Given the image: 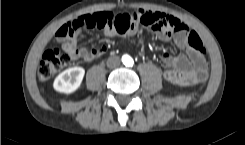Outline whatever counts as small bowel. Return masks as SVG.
I'll return each mask as SVG.
<instances>
[{
  "instance_id": "1",
  "label": "small bowel",
  "mask_w": 245,
  "mask_h": 145,
  "mask_svg": "<svg viewBox=\"0 0 245 145\" xmlns=\"http://www.w3.org/2000/svg\"><path fill=\"white\" fill-rule=\"evenodd\" d=\"M157 12V11H149ZM164 14L161 12H157ZM94 15V14H92ZM109 18H115L116 13H106ZM83 15L78 17L79 28L72 34V36L62 42L63 49L68 54L70 60H80L82 63H89L95 58L101 56L106 47L104 45L94 46L90 49L85 47L79 48L77 45L78 37L88 28L87 17ZM186 30H187V26ZM96 28V27H92ZM186 30L182 33L174 34L166 28H155L154 34L157 39L164 42L174 43L185 54L178 56H171L168 53H162L161 59L164 63L162 70L164 78L171 83L179 85H196L204 82L208 77L207 62L205 57L199 51L192 48L187 40ZM105 34H112L113 31L104 30Z\"/></svg>"
}]
</instances>
